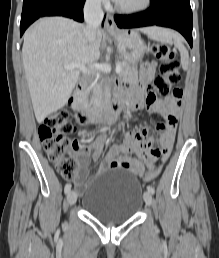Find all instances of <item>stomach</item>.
Segmentation results:
<instances>
[{
    "label": "stomach",
    "mask_w": 219,
    "mask_h": 258,
    "mask_svg": "<svg viewBox=\"0 0 219 258\" xmlns=\"http://www.w3.org/2000/svg\"><path fill=\"white\" fill-rule=\"evenodd\" d=\"M120 56L131 64L142 59L146 45L135 30H122L112 35Z\"/></svg>",
    "instance_id": "0dacf381"
}]
</instances>
